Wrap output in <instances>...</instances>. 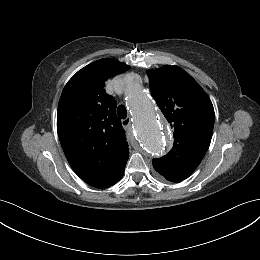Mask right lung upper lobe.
Masks as SVG:
<instances>
[{
	"label": "right lung upper lobe",
	"mask_w": 260,
	"mask_h": 260,
	"mask_svg": "<svg viewBox=\"0 0 260 260\" xmlns=\"http://www.w3.org/2000/svg\"><path fill=\"white\" fill-rule=\"evenodd\" d=\"M130 67L104 58L79 70L64 87L58 105L57 131L74 172L87 184L107 188L124 174L129 157L117 103L105 82Z\"/></svg>",
	"instance_id": "cb5924a9"
}]
</instances>
